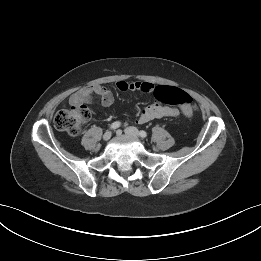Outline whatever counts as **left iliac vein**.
I'll use <instances>...</instances> for the list:
<instances>
[{
    "label": "left iliac vein",
    "mask_w": 261,
    "mask_h": 261,
    "mask_svg": "<svg viewBox=\"0 0 261 261\" xmlns=\"http://www.w3.org/2000/svg\"><path fill=\"white\" fill-rule=\"evenodd\" d=\"M125 133L129 136H132L134 138H139V131L135 127H127L125 129Z\"/></svg>",
    "instance_id": "1"
}]
</instances>
